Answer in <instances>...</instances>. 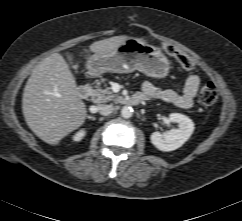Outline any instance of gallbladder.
<instances>
[{
  "mask_svg": "<svg viewBox=\"0 0 242 221\" xmlns=\"http://www.w3.org/2000/svg\"><path fill=\"white\" fill-rule=\"evenodd\" d=\"M66 57H67L68 61H69L71 64H73V61H74V57H73V55H72L71 53L67 52V53H66ZM74 66H75V65L73 64V67H74Z\"/></svg>",
  "mask_w": 242,
  "mask_h": 221,
  "instance_id": "gallbladder-1",
  "label": "gallbladder"
}]
</instances>
